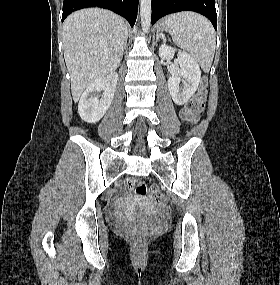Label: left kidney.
I'll return each instance as SVG.
<instances>
[{"mask_svg": "<svg viewBox=\"0 0 280 285\" xmlns=\"http://www.w3.org/2000/svg\"><path fill=\"white\" fill-rule=\"evenodd\" d=\"M175 49L163 44L159 48V56L162 59L170 60L173 58ZM178 63L180 70L175 76L168 79V89L170 95L177 105L185 104L196 92L200 78L201 70L196 61L185 52H178ZM183 87H180V83Z\"/></svg>", "mask_w": 280, "mask_h": 285, "instance_id": "obj_1", "label": "left kidney"}]
</instances>
